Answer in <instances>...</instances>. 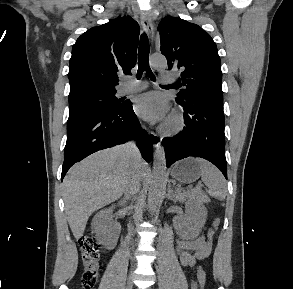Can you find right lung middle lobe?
<instances>
[{"instance_id":"dd1d6c3e","label":"right lung middle lobe","mask_w":293,"mask_h":289,"mask_svg":"<svg viewBox=\"0 0 293 289\" xmlns=\"http://www.w3.org/2000/svg\"><path fill=\"white\" fill-rule=\"evenodd\" d=\"M115 93L88 96L69 101V118L67 125L95 114L117 110L125 107L127 101L118 99Z\"/></svg>"}]
</instances>
